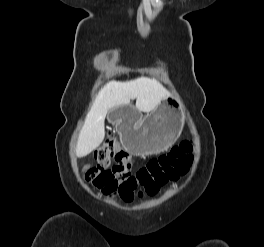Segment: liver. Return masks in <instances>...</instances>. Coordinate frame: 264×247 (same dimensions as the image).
<instances>
[{
  "label": "liver",
  "mask_w": 264,
  "mask_h": 247,
  "mask_svg": "<svg viewBox=\"0 0 264 247\" xmlns=\"http://www.w3.org/2000/svg\"><path fill=\"white\" fill-rule=\"evenodd\" d=\"M168 96V91L155 79L137 78L132 81H111L98 93L80 131L76 155L84 157L99 147L105 137L104 120L109 110L129 105L136 98V108L154 110Z\"/></svg>",
  "instance_id": "liver-1"
}]
</instances>
